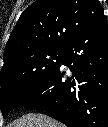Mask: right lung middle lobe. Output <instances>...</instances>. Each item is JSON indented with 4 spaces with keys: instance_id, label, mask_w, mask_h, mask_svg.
<instances>
[{
    "instance_id": "1",
    "label": "right lung middle lobe",
    "mask_w": 108,
    "mask_h": 127,
    "mask_svg": "<svg viewBox=\"0 0 108 127\" xmlns=\"http://www.w3.org/2000/svg\"><path fill=\"white\" fill-rule=\"evenodd\" d=\"M64 50L23 54L3 65L0 74V109L3 116L59 67Z\"/></svg>"
}]
</instances>
